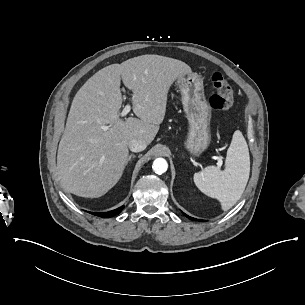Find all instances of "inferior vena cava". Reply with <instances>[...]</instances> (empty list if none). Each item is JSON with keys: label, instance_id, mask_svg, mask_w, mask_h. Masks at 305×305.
I'll use <instances>...</instances> for the list:
<instances>
[{"label": "inferior vena cava", "instance_id": "1", "mask_svg": "<svg viewBox=\"0 0 305 305\" xmlns=\"http://www.w3.org/2000/svg\"><path fill=\"white\" fill-rule=\"evenodd\" d=\"M128 146L133 152H140L146 148V142L138 139L128 141Z\"/></svg>", "mask_w": 305, "mask_h": 305}]
</instances>
